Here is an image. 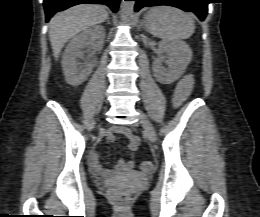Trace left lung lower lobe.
Masks as SVG:
<instances>
[{
	"mask_svg": "<svg viewBox=\"0 0 260 217\" xmlns=\"http://www.w3.org/2000/svg\"><path fill=\"white\" fill-rule=\"evenodd\" d=\"M136 1L135 11L145 6L168 5L180 8L187 12L195 13L203 21L208 12L210 0H133Z\"/></svg>",
	"mask_w": 260,
	"mask_h": 217,
	"instance_id": "left-lung-lower-lobe-1",
	"label": "left lung lower lobe"
}]
</instances>
